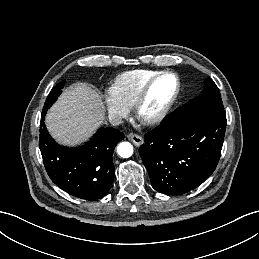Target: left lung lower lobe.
Wrapping results in <instances>:
<instances>
[{
    "label": "left lung lower lobe",
    "mask_w": 259,
    "mask_h": 259,
    "mask_svg": "<svg viewBox=\"0 0 259 259\" xmlns=\"http://www.w3.org/2000/svg\"><path fill=\"white\" fill-rule=\"evenodd\" d=\"M226 112L196 109L148 132L139 154L153 188L166 195L185 194L215 170L224 141Z\"/></svg>",
    "instance_id": "1"
}]
</instances>
